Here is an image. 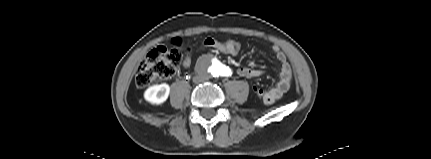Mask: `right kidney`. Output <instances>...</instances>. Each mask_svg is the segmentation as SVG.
<instances>
[{"mask_svg":"<svg viewBox=\"0 0 431 159\" xmlns=\"http://www.w3.org/2000/svg\"><path fill=\"white\" fill-rule=\"evenodd\" d=\"M170 93V86L166 83L159 85H153L144 92V98L146 101L154 105H160L164 103Z\"/></svg>","mask_w":431,"mask_h":159,"instance_id":"ca27d5eb","label":"right kidney"}]
</instances>
